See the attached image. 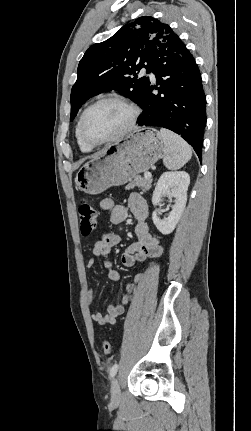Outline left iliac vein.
<instances>
[{"instance_id": "1", "label": "left iliac vein", "mask_w": 251, "mask_h": 431, "mask_svg": "<svg viewBox=\"0 0 251 431\" xmlns=\"http://www.w3.org/2000/svg\"><path fill=\"white\" fill-rule=\"evenodd\" d=\"M111 398L113 401H119L121 398V390L119 381L117 378H114L111 383Z\"/></svg>"}]
</instances>
